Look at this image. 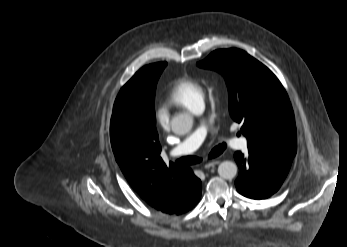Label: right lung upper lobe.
<instances>
[{
	"instance_id": "obj_1",
	"label": "right lung upper lobe",
	"mask_w": 347,
	"mask_h": 247,
	"mask_svg": "<svg viewBox=\"0 0 347 247\" xmlns=\"http://www.w3.org/2000/svg\"><path fill=\"white\" fill-rule=\"evenodd\" d=\"M124 90H134L131 78ZM112 149L126 179L149 205L172 214L194 192L201 181L189 167L162 160L157 131L127 122L113 109L110 123Z\"/></svg>"
}]
</instances>
